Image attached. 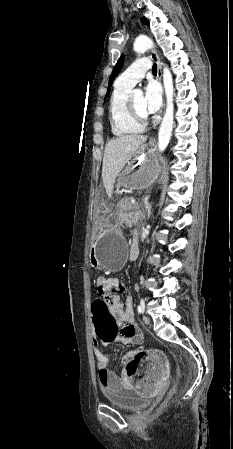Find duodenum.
Instances as JSON below:
<instances>
[{"label":"duodenum","instance_id":"410a0bca","mask_svg":"<svg viewBox=\"0 0 233 449\" xmlns=\"http://www.w3.org/2000/svg\"><path fill=\"white\" fill-rule=\"evenodd\" d=\"M131 252H132V253H135V252H136V247H135L134 245H133L132 248H131Z\"/></svg>","mask_w":233,"mask_h":449}]
</instances>
